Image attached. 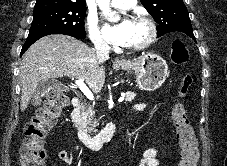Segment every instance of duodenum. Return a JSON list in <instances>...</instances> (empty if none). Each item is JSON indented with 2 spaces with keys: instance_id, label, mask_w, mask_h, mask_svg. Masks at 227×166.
<instances>
[{
  "instance_id": "duodenum-1",
  "label": "duodenum",
  "mask_w": 227,
  "mask_h": 166,
  "mask_svg": "<svg viewBox=\"0 0 227 166\" xmlns=\"http://www.w3.org/2000/svg\"><path fill=\"white\" fill-rule=\"evenodd\" d=\"M81 106L82 100L80 98H74L72 100L71 120L77 129L78 137L81 142L90 150H99L113 137L115 125L113 122H110L97 135L92 136L88 134L77 121Z\"/></svg>"
}]
</instances>
